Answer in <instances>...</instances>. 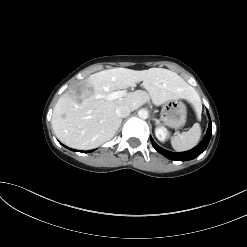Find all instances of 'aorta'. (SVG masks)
<instances>
[{"label":"aorta","mask_w":247,"mask_h":247,"mask_svg":"<svg viewBox=\"0 0 247 247\" xmlns=\"http://www.w3.org/2000/svg\"><path fill=\"white\" fill-rule=\"evenodd\" d=\"M138 116L142 119H147L148 118V111L146 109H140L138 111Z\"/></svg>","instance_id":"obj_1"}]
</instances>
